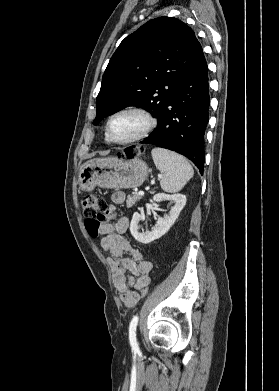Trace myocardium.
<instances>
[{
    "label": "myocardium",
    "instance_id": "myocardium-1",
    "mask_svg": "<svg viewBox=\"0 0 279 391\" xmlns=\"http://www.w3.org/2000/svg\"><path fill=\"white\" fill-rule=\"evenodd\" d=\"M123 113H135L140 115L144 119V125L137 133H135L131 137L125 140H115L110 136V124L116 116ZM155 126H156V120L147 109L136 105H128L119 108L109 116L105 125V137L109 143L116 144V145H127L130 143L140 141L145 137H147L155 128Z\"/></svg>",
    "mask_w": 279,
    "mask_h": 391
}]
</instances>
